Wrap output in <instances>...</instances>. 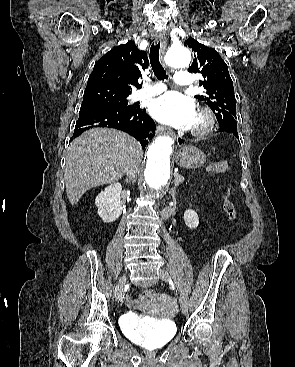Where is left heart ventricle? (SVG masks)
<instances>
[{"mask_svg": "<svg viewBox=\"0 0 295 367\" xmlns=\"http://www.w3.org/2000/svg\"><path fill=\"white\" fill-rule=\"evenodd\" d=\"M196 122H195V120H194V122H193V124L192 125H194Z\"/></svg>", "mask_w": 295, "mask_h": 367, "instance_id": "obj_1", "label": "left heart ventricle"}]
</instances>
